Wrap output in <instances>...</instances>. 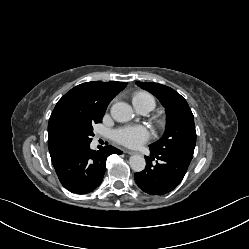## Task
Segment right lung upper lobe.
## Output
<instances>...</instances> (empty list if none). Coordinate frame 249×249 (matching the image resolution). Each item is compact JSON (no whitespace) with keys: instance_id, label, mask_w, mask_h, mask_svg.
Returning a JSON list of instances; mask_svg holds the SVG:
<instances>
[{"instance_id":"obj_1","label":"right lung upper lobe","mask_w":249,"mask_h":249,"mask_svg":"<svg viewBox=\"0 0 249 249\" xmlns=\"http://www.w3.org/2000/svg\"><path fill=\"white\" fill-rule=\"evenodd\" d=\"M126 82H87L67 92L56 104L48 123V148L53 166L77 146L78 130L102 118L110 101L126 87Z\"/></svg>"}]
</instances>
